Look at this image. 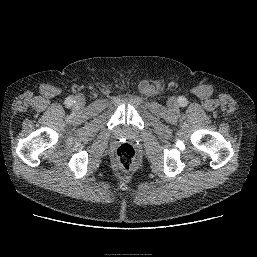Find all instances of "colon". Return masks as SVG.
Segmentation results:
<instances>
[{
    "instance_id": "obj_1",
    "label": "colon",
    "mask_w": 257,
    "mask_h": 257,
    "mask_svg": "<svg viewBox=\"0 0 257 257\" xmlns=\"http://www.w3.org/2000/svg\"><path fill=\"white\" fill-rule=\"evenodd\" d=\"M135 157L136 152L131 144H121L116 151L117 167L122 171L129 170L134 164Z\"/></svg>"
}]
</instances>
